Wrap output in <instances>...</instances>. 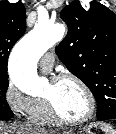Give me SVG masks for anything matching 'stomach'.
<instances>
[{"label": "stomach", "instance_id": "1", "mask_svg": "<svg viewBox=\"0 0 116 134\" xmlns=\"http://www.w3.org/2000/svg\"><path fill=\"white\" fill-rule=\"evenodd\" d=\"M63 134H72V133L67 132ZM82 134H116V131L106 123L93 122L83 129Z\"/></svg>", "mask_w": 116, "mask_h": 134}]
</instances>
